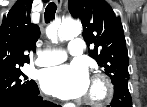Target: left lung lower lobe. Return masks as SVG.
<instances>
[{"label": "left lung lower lobe", "mask_w": 147, "mask_h": 107, "mask_svg": "<svg viewBox=\"0 0 147 107\" xmlns=\"http://www.w3.org/2000/svg\"><path fill=\"white\" fill-rule=\"evenodd\" d=\"M109 107H132L128 80H121L114 84V97Z\"/></svg>", "instance_id": "0a47b994"}]
</instances>
